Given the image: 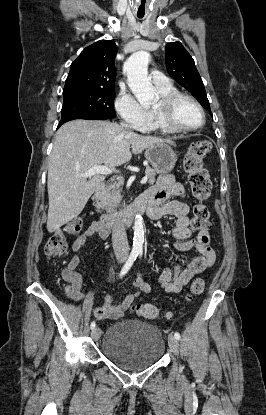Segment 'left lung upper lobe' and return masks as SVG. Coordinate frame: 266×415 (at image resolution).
<instances>
[{"instance_id":"obj_1","label":"left lung upper lobe","mask_w":266,"mask_h":415,"mask_svg":"<svg viewBox=\"0 0 266 415\" xmlns=\"http://www.w3.org/2000/svg\"><path fill=\"white\" fill-rule=\"evenodd\" d=\"M166 68L170 76L185 87L207 110H211L203 81L190 54L181 42L168 43L165 54Z\"/></svg>"}]
</instances>
